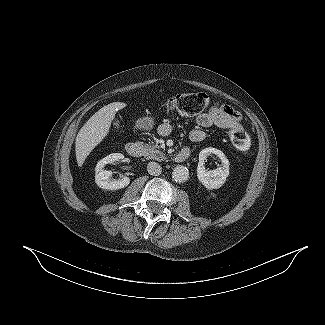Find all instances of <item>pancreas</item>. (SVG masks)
<instances>
[{"label": "pancreas", "instance_id": "pancreas-1", "mask_svg": "<svg viewBox=\"0 0 325 325\" xmlns=\"http://www.w3.org/2000/svg\"><path fill=\"white\" fill-rule=\"evenodd\" d=\"M143 156L147 159H154L157 161H163L167 158L165 153L160 150V146L154 142L143 146Z\"/></svg>", "mask_w": 325, "mask_h": 325}]
</instances>
